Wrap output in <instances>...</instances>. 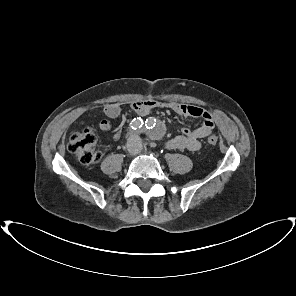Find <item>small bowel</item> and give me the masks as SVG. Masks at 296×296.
<instances>
[{"mask_svg":"<svg viewBox=\"0 0 296 296\" xmlns=\"http://www.w3.org/2000/svg\"><path fill=\"white\" fill-rule=\"evenodd\" d=\"M156 108H168L181 116L201 117L203 119V123L199 127L195 129L184 128L182 134L168 140L166 147L171 150L198 151L201 148V139L210 135L215 127L212 114L197 106L155 100H141L132 104V109L139 116H146ZM104 114L109 119H116L120 116L121 109L117 104H107L104 107ZM98 127L102 131L112 130V125L107 119L99 121Z\"/></svg>","mask_w":296,"mask_h":296,"instance_id":"c3829d8e","label":"small bowel"}]
</instances>
